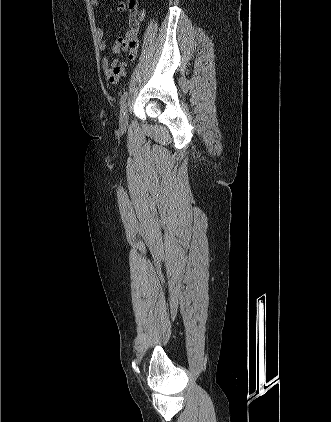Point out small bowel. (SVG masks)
<instances>
[{
	"instance_id": "obj_1",
	"label": "small bowel",
	"mask_w": 331,
	"mask_h": 422,
	"mask_svg": "<svg viewBox=\"0 0 331 422\" xmlns=\"http://www.w3.org/2000/svg\"><path fill=\"white\" fill-rule=\"evenodd\" d=\"M93 8H97L100 4L99 0H90ZM131 28L125 33L124 36L115 40L112 51L119 57L109 59L105 54L107 49V40L103 28L101 27L98 18L95 23V34L97 38V45L99 50L103 53L101 59V67L105 78L112 84L126 76L125 62L121 57L125 54L127 59L134 60L138 52V31L139 24L137 21H130Z\"/></svg>"
}]
</instances>
